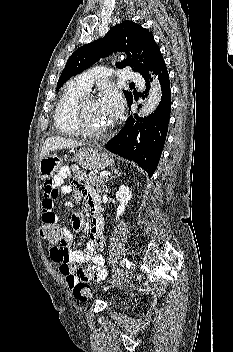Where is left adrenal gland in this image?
<instances>
[{"label": "left adrenal gland", "instance_id": "left-adrenal-gland-1", "mask_svg": "<svg viewBox=\"0 0 233 352\" xmlns=\"http://www.w3.org/2000/svg\"><path fill=\"white\" fill-rule=\"evenodd\" d=\"M115 172V176H112L110 179L107 177L105 183H107L109 180H111L112 178H115V177H120L121 173L118 172V170H114ZM103 187H105V185L103 184Z\"/></svg>", "mask_w": 233, "mask_h": 352}]
</instances>
